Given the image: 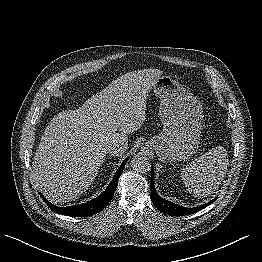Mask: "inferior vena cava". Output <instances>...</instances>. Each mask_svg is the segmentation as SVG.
<instances>
[{"label":"inferior vena cava","instance_id":"1","mask_svg":"<svg viewBox=\"0 0 262 262\" xmlns=\"http://www.w3.org/2000/svg\"><path fill=\"white\" fill-rule=\"evenodd\" d=\"M128 149L127 142H114L108 146V153L112 156L122 155Z\"/></svg>","mask_w":262,"mask_h":262}]
</instances>
